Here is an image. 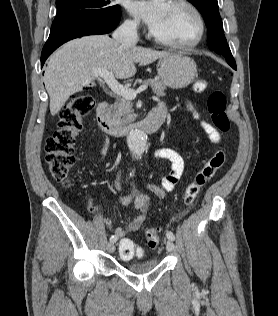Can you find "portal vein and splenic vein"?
<instances>
[{
	"mask_svg": "<svg viewBox=\"0 0 278 316\" xmlns=\"http://www.w3.org/2000/svg\"><path fill=\"white\" fill-rule=\"evenodd\" d=\"M93 73L95 76H99V77L103 78L104 81L109 86V88L114 93H116V94H118L126 99H129V100L135 99L138 93L145 91L148 87L146 84H144V85H141L138 89L134 90V89H131L129 87H125V86L121 85L115 79L113 72L98 69V70H95Z\"/></svg>",
	"mask_w": 278,
	"mask_h": 316,
	"instance_id": "obj_1",
	"label": "portal vein and splenic vein"
}]
</instances>
